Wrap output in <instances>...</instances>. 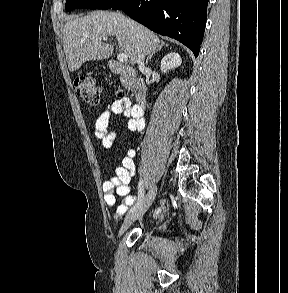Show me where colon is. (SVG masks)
<instances>
[{
	"mask_svg": "<svg viewBox=\"0 0 288 293\" xmlns=\"http://www.w3.org/2000/svg\"><path fill=\"white\" fill-rule=\"evenodd\" d=\"M76 94L89 104H98L101 96V89L95 78L91 76H80L75 80ZM121 94V93H120Z\"/></svg>",
	"mask_w": 288,
	"mask_h": 293,
	"instance_id": "colon-1",
	"label": "colon"
}]
</instances>
